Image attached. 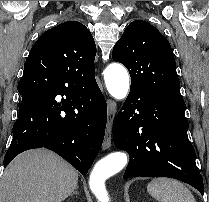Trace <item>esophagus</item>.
I'll list each match as a JSON object with an SVG mask.
<instances>
[{"instance_id": "1", "label": "esophagus", "mask_w": 209, "mask_h": 202, "mask_svg": "<svg viewBox=\"0 0 209 202\" xmlns=\"http://www.w3.org/2000/svg\"><path fill=\"white\" fill-rule=\"evenodd\" d=\"M116 103L112 100H108L107 104V125H106V131H105V137L103 141L102 148L103 150H106L111 145V139H112V128L114 119L116 116Z\"/></svg>"}]
</instances>
